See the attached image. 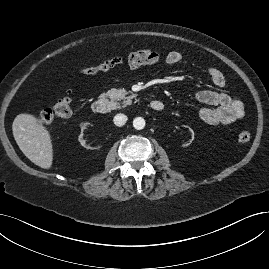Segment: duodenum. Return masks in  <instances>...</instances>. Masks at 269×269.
Segmentation results:
<instances>
[{"instance_id":"obj_1","label":"duodenum","mask_w":269,"mask_h":269,"mask_svg":"<svg viewBox=\"0 0 269 269\" xmlns=\"http://www.w3.org/2000/svg\"><path fill=\"white\" fill-rule=\"evenodd\" d=\"M149 107L152 111L160 113L164 110V103L160 100H152ZM92 110L96 114H105L109 110V102L105 98H99L92 104Z\"/></svg>"}]
</instances>
